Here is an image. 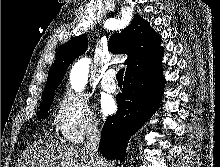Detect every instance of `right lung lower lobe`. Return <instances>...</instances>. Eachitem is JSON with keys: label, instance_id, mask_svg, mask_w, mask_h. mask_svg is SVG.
<instances>
[{"label": "right lung lower lobe", "instance_id": "98d812e1", "mask_svg": "<svg viewBox=\"0 0 220 167\" xmlns=\"http://www.w3.org/2000/svg\"><path fill=\"white\" fill-rule=\"evenodd\" d=\"M162 72L160 63L125 75L122 93L116 98L118 111L102 129L99 149L104 157L125 161L129 138L157 110L165 84Z\"/></svg>", "mask_w": 220, "mask_h": 167}]
</instances>
